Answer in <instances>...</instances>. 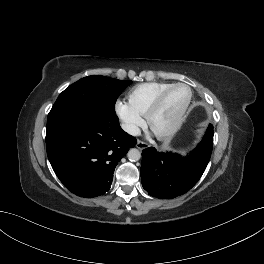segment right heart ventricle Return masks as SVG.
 Instances as JSON below:
<instances>
[{
	"label": "right heart ventricle",
	"instance_id": "right-heart-ventricle-1",
	"mask_svg": "<svg viewBox=\"0 0 264 264\" xmlns=\"http://www.w3.org/2000/svg\"><path fill=\"white\" fill-rule=\"evenodd\" d=\"M171 83L148 82L133 87L128 95V105L139 115H145L156 96Z\"/></svg>",
	"mask_w": 264,
	"mask_h": 264
}]
</instances>
